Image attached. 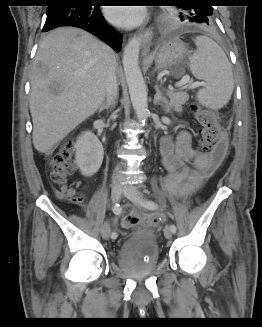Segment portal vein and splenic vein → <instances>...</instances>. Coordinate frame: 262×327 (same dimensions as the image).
I'll use <instances>...</instances> for the list:
<instances>
[{
	"label": "portal vein and splenic vein",
	"mask_w": 262,
	"mask_h": 327,
	"mask_svg": "<svg viewBox=\"0 0 262 327\" xmlns=\"http://www.w3.org/2000/svg\"><path fill=\"white\" fill-rule=\"evenodd\" d=\"M189 82H190V77L186 75L176 84V87H182L188 85L190 89H194L203 85V83L201 82H194V83H189Z\"/></svg>",
	"instance_id": "18ae733b"
}]
</instances>
